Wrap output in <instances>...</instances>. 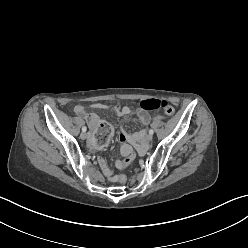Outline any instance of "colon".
I'll return each mask as SVG.
<instances>
[{
    "label": "colon",
    "mask_w": 248,
    "mask_h": 248,
    "mask_svg": "<svg viewBox=\"0 0 248 248\" xmlns=\"http://www.w3.org/2000/svg\"><path fill=\"white\" fill-rule=\"evenodd\" d=\"M140 108L144 111H155L162 110L167 116H171L174 113V108L172 105L165 101L159 99H147L140 103ZM165 114H157L156 116H149V121H165L167 116ZM88 127L95 138L94 145L97 149L103 150L107 147L108 141L113 133V127L109 123H104L102 119L98 116L93 115L88 120ZM127 157L121 162L119 168L124 170L135 158V153L132 149L127 152ZM115 181L120 184H125L127 182V177L124 173L120 172L115 176Z\"/></svg>",
    "instance_id": "colon-1"
}]
</instances>
